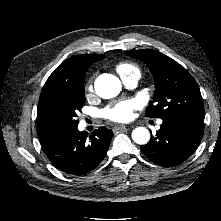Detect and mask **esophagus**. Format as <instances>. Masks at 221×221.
I'll list each match as a JSON object with an SVG mask.
<instances>
[{
	"mask_svg": "<svg viewBox=\"0 0 221 221\" xmlns=\"http://www.w3.org/2000/svg\"><path fill=\"white\" fill-rule=\"evenodd\" d=\"M128 128H130V126H127V125H116V126L113 127V130H114V131H117V130H126V129H128Z\"/></svg>",
	"mask_w": 221,
	"mask_h": 221,
	"instance_id": "1",
	"label": "esophagus"
}]
</instances>
